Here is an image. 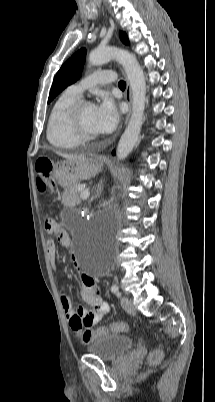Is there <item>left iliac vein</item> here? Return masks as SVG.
<instances>
[{
    "label": "left iliac vein",
    "instance_id": "left-iliac-vein-1",
    "mask_svg": "<svg viewBox=\"0 0 215 402\" xmlns=\"http://www.w3.org/2000/svg\"><path fill=\"white\" fill-rule=\"evenodd\" d=\"M121 306L123 309L129 313H132L135 311V308L133 306L132 300L126 296L121 298Z\"/></svg>",
    "mask_w": 215,
    "mask_h": 402
}]
</instances>
